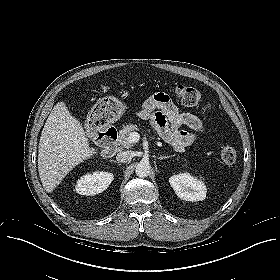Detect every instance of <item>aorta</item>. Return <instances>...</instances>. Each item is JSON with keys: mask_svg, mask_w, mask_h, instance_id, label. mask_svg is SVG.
Segmentation results:
<instances>
[{"mask_svg": "<svg viewBox=\"0 0 280 280\" xmlns=\"http://www.w3.org/2000/svg\"><path fill=\"white\" fill-rule=\"evenodd\" d=\"M150 164L146 161H140L137 165H136V175L138 177H147L150 173Z\"/></svg>", "mask_w": 280, "mask_h": 280, "instance_id": "obj_1", "label": "aorta"}]
</instances>
